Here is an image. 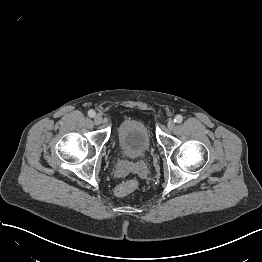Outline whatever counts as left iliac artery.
I'll use <instances>...</instances> for the list:
<instances>
[{
    "label": "left iliac artery",
    "instance_id": "obj_1",
    "mask_svg": "<svg viewBox=\"0 0 262 262\" xmlns=\"http://www.w3.org/2000/svg\"><path fill=\"white\" fill-rule=\"evenodd\" d=\"M183 121V117L181 115H177L175 118H174V122L175 123H181Z\"/></svg>",
    "mask_w": 262,
    "mask_h": 262
}]
</instances>
